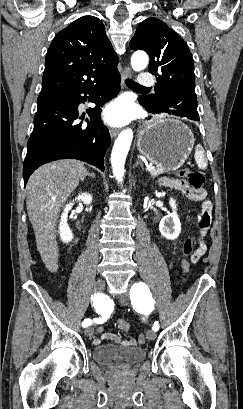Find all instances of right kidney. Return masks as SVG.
Segmentation results:
<instances>
[{"label":"right kidney","instance_id":"obj_1","mask_svg":"<svg viewBox=\"0 0 243 409\" xmlns=\"http://www.w3.org/2000/svg\"><path fill=\"white\" fill-rule=\"evenodd\" d=\"M92 195L88 193H82L78 195V197L75 200H81L84 204L89 205L92 203ZM74 203L70 202L66 204L64 208V212L61 215V221L59 224V234L60 238L64 243H68L73 239V234L68 226L67 223V217H68V212L71 210L72 206Z\"/></svg>","mask_w":243,"mask_h":409}]
</instances>
